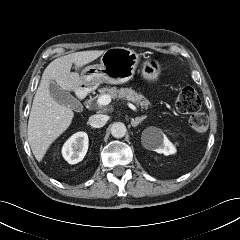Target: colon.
Instances as JSON below:
<instances>
[{"instance_id":"1","label":"colon","mask_w":240,"mask_h":240,"mask_svg":"<svg viewBox=\"0 0 240 240\" xmlns=\"http://www.w3.org/2000/svg\"><path fill=\"white\" fill-rule=\"evenodd\" d=\"M201 98L192 87H182L178 90L176 107L180 113L189 115V125L197 133H205L208 129L207 115L201 112Z\"/></svg>"}]
</instances>
